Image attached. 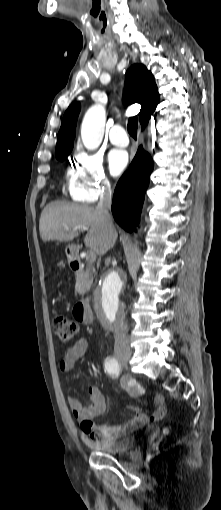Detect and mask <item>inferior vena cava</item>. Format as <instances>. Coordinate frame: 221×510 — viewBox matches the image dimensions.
I'll list each match as a JSON object with an SVG mask.
<instances>
[{
    "mask_svg": "<svg viewBox=\"0 0 221 510\" xmlns=\"http://www.w3.org/2000/svg\"><path fill=\"white\" fill-rule=\"evenodd\" d=\"M112 202V191L110 185H106L104 191L100 195V200L96 207L97 212L100 214L104 226L109 231H114L112 217L109 213ZM128 327L127 321L120 320L115 324V352H130L129 341L127 337Z\"/></svg>",
    "mask_w": 221,
    "mask_h": 510,
    "instance_id": "inferior-vena-cava-1",
    "label": "inferior vena cava"
}]
</instances>
